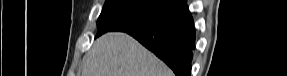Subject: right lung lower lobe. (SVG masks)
Segmentation results:
<instances>
[{
    "label": "right lung lower lobe",
    "instance_id": "98d812e1",
    "mask_svg": "<svg viewBox=\"0 0 287 76\" xmlns=\"http://www.w3.org/2000/svg\"><path fill=\"white\" fill-rule=\"evenodd\" d=\"M127 33L162 59L176 76H190L195 32L186 0L147 27Z\"/></svg>",
    "mask_w": 287,
    "mask_h": 76
}]
</instances>
